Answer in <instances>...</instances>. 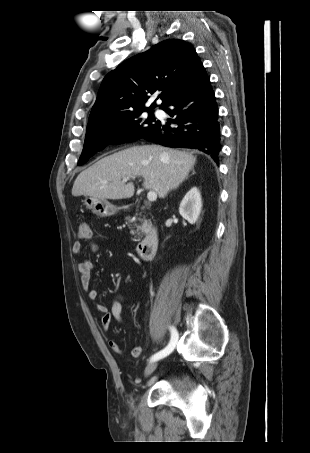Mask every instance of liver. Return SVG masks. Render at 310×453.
<instances>
[{"mask_svg": "<svg viewBox=\"0 0 310 453\" xmlns=\"http://www.w3.org/2000/svg\"><path fill=\"white\" fill-rule=\"evenodd\" d=\"M196 157L185 151L157 145L134 146L106 156L76 178L72 195L119 200L134 195L132 182L124 178L143 177V187L164 198L188 176ZM107 182V183H105Z\"/></svg>", "mask_w": 310, "mask_h": 453, "instance_id": "1", "label": "liver"}]
</instances>
